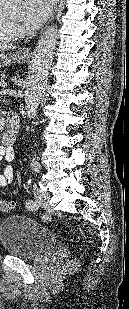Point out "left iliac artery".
<instances>
[{"label":"left iliac artery","mask_w":129,"mask_h":309,"mask_svg":"<svg viewBox=\"0 0 129 309\" xmlns=\"http://www.w3.org/2000/svg\"><path fill=\"white\" fill-rule=\"evenodd\" d=\"M31 166H32V169H33L35 172H39L40 167H41L40 164H39L37 161L32 162ZM30 184H31V182H30ZM26 207H27V209L30 210V211H34V210L37 209V208H36V204H35L33 201H28V202L26 203ZM42 219H43L44 221H48V220H49V216H48V215H43Z\"/></svg>","instance_id":"44dca946"}]
</instances>
